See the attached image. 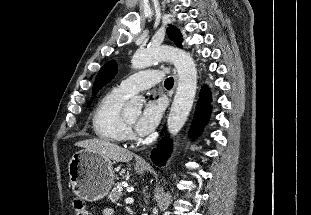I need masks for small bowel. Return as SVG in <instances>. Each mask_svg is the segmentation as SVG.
I'll use <instances>...</instances> for the list:
<instances>
[{
	"label": "small bowel",
	"instance_id": "obj_1",
	"mask_svg": "<svg viewBox=\"0 0 311 215\" xmlns=\"http://www.w3.org/2000/svg\"><path fill=\"white\" fill-rule=\"evenodd\" d=\"M103 215H113L112 211L111 210H105Z\"/></svg>",
	"mask_w": 311,
	"mask_h": 215
}]
</instances>
